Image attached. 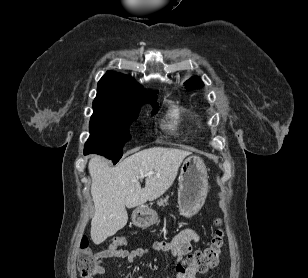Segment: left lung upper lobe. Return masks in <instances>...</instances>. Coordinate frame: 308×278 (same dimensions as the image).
I'll return each mask as SVG.
<instances>
[{"label":"left lung upper lobe","instance_id":"left-lung-upper-lobe-1","mask_svg":"<svg viewBox=\"0 0 308 278\" xmlns=\"http://www.w3.org/2000/svg\"><path fill=\"white\" fill-rule=\"evenodd\" d=\"M202 86L203 83L198 77H192L185 82V88L189 90L198 89L201 88Z\"/></svg>","mask_w":308,"mask_h":278}]
</instances>
